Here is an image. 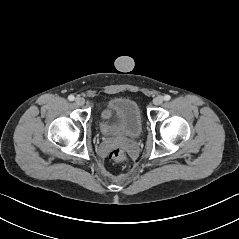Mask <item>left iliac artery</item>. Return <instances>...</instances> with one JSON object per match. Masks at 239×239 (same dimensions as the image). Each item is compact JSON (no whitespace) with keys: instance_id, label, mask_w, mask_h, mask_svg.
I'll use <instances>...</instances> for the list:
<instances>
[{"instance_id":"left-iliac-artery-1","label":"left iliac artery","mask_w":239,"mask_h":239,"mask_svg":"<svg viewBox=\"0 0 239 239\" xmlns=\"http://www.w3.org/2000/svg\"><path fill=\"white\" fill-rule=\"evenodd\" d=\"M170 99H171L170 95L167 94V95L164 96L165 101H169Z\"/></svg>"}]
</instances>
